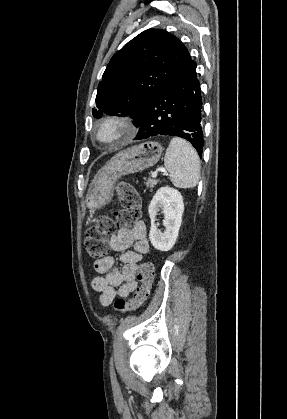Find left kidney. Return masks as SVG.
Returning <instances> with one entry per match:
<instances>
[{"instance_id":"1","label":"left kidney","mask_w":287,"mask_h":419,"mask_svg":"<svg viewBox=\"0 0 287 419\" xmlns=\"http://www.w3.org/2000/svg\"><path fill=\"white\" fill-rule=\"evenodd\" d=\"M162 209L164 214V231L157 228L155 223L157 212ZM151 219L149 239L153 247L160 251H169L175 244L182 223L184 212L181 193L168 186L161 187L150 202L148 208Z\"/></svg>"}]
</instances>
